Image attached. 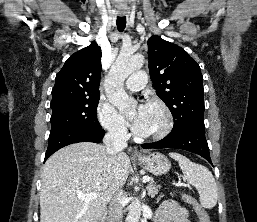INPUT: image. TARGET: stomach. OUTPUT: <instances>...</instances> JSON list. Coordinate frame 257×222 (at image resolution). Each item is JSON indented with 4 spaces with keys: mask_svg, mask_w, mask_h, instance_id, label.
<instances>
[{
    "mask_svg": "<svg viewBox=\"0 0 257 222\" xmlns=\"http://www.w3.org/2000/svg\"><path fill=\"white\" fill-rule=\"evenodd\" d=\"M135 160L147 171L154 175L166 174L171 167L169 159L159 152H155Z\"/></svg>",
    "mask_w": 257,
    "mask_h": 222,
    "instance_id": "stomach-1",
    "label": "stomach"
}]
</instances>
